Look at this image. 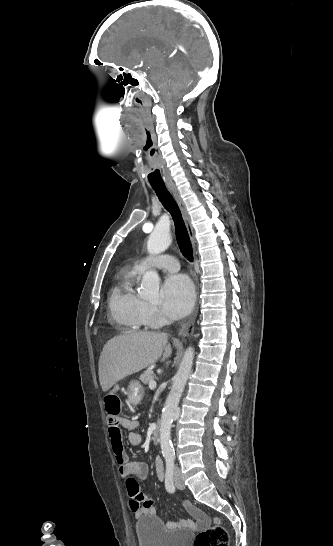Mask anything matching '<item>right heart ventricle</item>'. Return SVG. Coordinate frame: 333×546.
Listing matches in <instances>:
<instances>
[{"label":"right heart ventricle","instance_id":"right-heart-ventricle-1","mask_svg":"<svg viewBox=\"0 0 333 546\" xmlns=\"http://www.w3.org/2000/svg\"><path fill=\"white\" fill-rule=\"evenodd\" d=\"M139 273L135 268L123 271L108 298L111 321L127 331H138L146 326L140 312L143 301L135 290V280Z\"/></svg>","mask_w":333,"mask_h":546}]
</instances>
